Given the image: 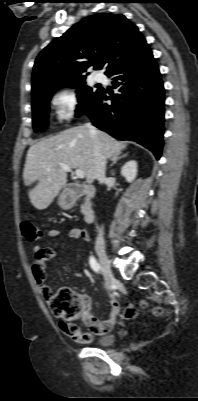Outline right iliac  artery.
Masks as SVG:
<instances>
[{"instance_id":"obj_1","label":"right iliac artery","mask_w":198,"mask_h":401,"mask_svg":"<svg viewBox=\"0 0 198 401\" xmlns=\"http://www.w3.org/2000/svg\"><path fill=\"white\" fill-rule=\"evenodd\" d=\"M90 266L91 268L96 272V273H100V265L98 264L97 260L94 257H90L89 260Z\"/></svg>"}]
</instances>
